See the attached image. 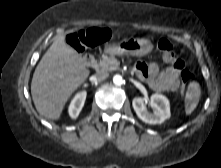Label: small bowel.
I'll return each mask as SVG.
<instances>
[{"label":"small bowel","instance_id":"1","mask_svg":"<svg viewBox=\"0 0 221 168\" xmlns=\"http://www.w3.org/2000/svg\"><path fill=\"white\" fill-rule=\"evenodd\" d=\"M164 61L169 64L164 70H160L155 62H138L134 71L155 91H176L179 87V76L185 72V65L172 52L164 54Z\"/></svg>","mask_w":221,"mask_h":168}]
</instances>
